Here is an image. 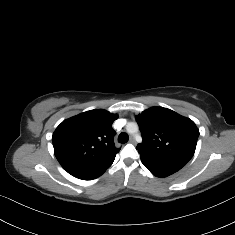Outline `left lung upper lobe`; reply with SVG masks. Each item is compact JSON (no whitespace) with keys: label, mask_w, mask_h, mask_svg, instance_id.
Instances as JSON below:
<instances>
[{"label":"left lung upper lobe","mask_w":235,"mask_h":235,"mask_svg":"<svg viewBox=\"0 0 235 235\" xmlns=\"http://www.w3.org/2000/svg\"><path fill=\"white\" fill-rule=\"evenodd\" d=\"M143 141L136 149L143 155L186 165L193 157L199 130L195 123L162 107H152L136 117Z\"/></svg>","instance_id":"left-lung-upper-lobe-1"}]
</instances>
